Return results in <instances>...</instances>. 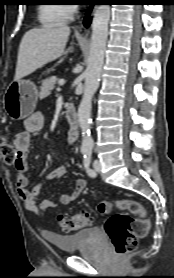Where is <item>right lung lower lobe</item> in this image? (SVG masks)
<instances>
[{
    "label": "right lung lower lobe",
    "instance_id": "right-lung-lower-lobe-1",
    "mask_svg": "<svg viewBox=\"0 0 174 278\" xmlns=\"http://www.w3.org/2000/svg\"><path fill=\"white\" fill-rule=\"evenodd\" d=\"M91 10H92V7L89 8V10H88L87 13H86V17H85V19H84V25H85L86 27L90 24V20H91V19H89L88 17H89V15H90Z\"/></svg>",
    "mask_w": 174,
    "mask_h": 278
}]
</instances>
